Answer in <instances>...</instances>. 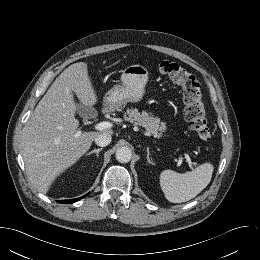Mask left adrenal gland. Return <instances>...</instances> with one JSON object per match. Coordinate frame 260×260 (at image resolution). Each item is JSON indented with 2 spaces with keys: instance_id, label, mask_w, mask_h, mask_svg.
<instances>
[{
  "instance_id": "obj_1",
  "label": "left adrenal gland",
  "mask_w": 260,
  "mask_h": 260,
  "mask_svg": "<svg viewBox=\"0 0 260 260\" xmlns=\"http://www.w3.org/2000/svg\"><path fill=\"white\" fill-rule=\"evenodd\" d=\"M150 151H149V148H147V161H148V163H150V164H154L153 163V161H152V159H150Z\"/></svg>"
}]
</instances>
